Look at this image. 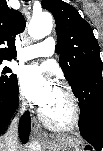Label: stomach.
<instances>
[{
    "mask_svg": "<svg viewBox=\"0 0 103 151\" xmlns=\"http://www.w3.org/2000/svg\"><path fill=\"white\" fill-rule=\"evenodd\" d=\"M48 151H86L87 146L79 136L60 134L45 143Z\"/></svg>",
    "mask_w": 103,
    "mask_h": 151,
    "instance_id": "obj_1",
    "label": "stomach"
}]
</instances>
